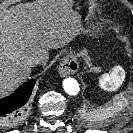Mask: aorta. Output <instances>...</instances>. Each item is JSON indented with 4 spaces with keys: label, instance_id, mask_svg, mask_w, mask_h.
<instances>
[{
    "label": "aorta",
    "instance_id": "aorta-1",
    "mask_svg": "<svg viewBox=\"0 0 133 133\" xmlns=\"http://www.w3.org/2000/svg\"><path fill=\"white\" fill-rule=\"evenodd\" d=\"M63 89L70 96H76L80 92V86L74 78H66L63 81Z\"/></svg>",
    "mask_w": 133,
    "mask_h": 133
}]
</instances>
